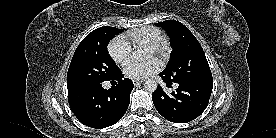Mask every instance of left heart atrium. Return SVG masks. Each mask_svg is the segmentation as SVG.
<instances>
[{
    "label": "left heart atrium",
    "instance_id": "1",
    "mask_svg": "<svg viewBox=\"0 0 276 138\" xmlns=\"http://www.w3.org/2000/svg\"><path fill=\"white\" fill-rule=\"evenodd\" d=\"M160 62L156 59H151L144 62L130 61L124 68V73L132 79H144L154 74L160 69Z\"/></svg>",
    "mask_w": 276,
    "mask_h": 138
}]
</instances>
